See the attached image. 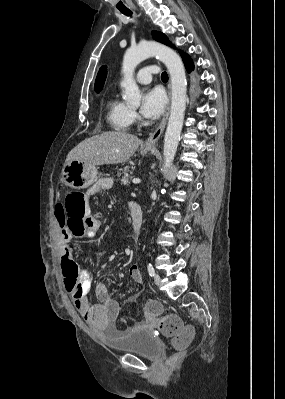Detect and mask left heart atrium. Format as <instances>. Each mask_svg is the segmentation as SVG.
Returning <instances> with one entry per match:
<instances>
[{
    "mask_svg": "<svg viewBox=\"0 0 285 399\" xmlns=\"http://www.w3.org/2000/svg\"><path fill=\"white\" fill-rule=\"evenodd\" d=\"M166 104L164 92L159 88H153L144 94L141 112L148 119H156L163 114Z\"/></svg>",
    "mask_w": 285,
    "mask_h": 399,
    "instance_id": "1",
    "label": "left heart atrium"
}]
</instances>
